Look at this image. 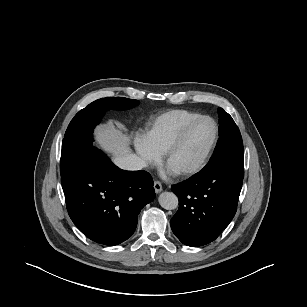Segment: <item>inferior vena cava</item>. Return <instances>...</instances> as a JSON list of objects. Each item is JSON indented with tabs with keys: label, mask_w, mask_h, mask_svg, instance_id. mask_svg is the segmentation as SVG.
I'll return each mask as SVG.
<instances>
[{
	"label": "inferior vena cava",
	"mask_w": 307,
	"mask_h": 307,
	"mask_svg": "<svg viewBox=\"0 0 307 307\" xmlns=\"http://www.w3.org/2000/svg\"><path fill=\"white\" fill-rule=\"evenodd\" d=\"M115 163L119 168L130 171L141 170L146 166L145 161L135 154H126L118 157Z\"/></svg>",
	"instance_id": "602c4592"
}]
</instances>
